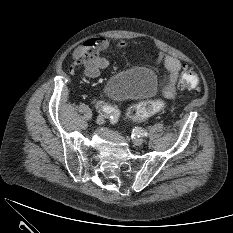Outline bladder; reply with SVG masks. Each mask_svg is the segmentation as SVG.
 I'll list each match as a JSON object with an SVG mask.
<instances>
[{"label": "bladder", "mask_w": 233, "mask_h": 233, "mask_svg": "<svg viewBox=\"0 0 233 233\" xmlns=\"http://www.w3.org/2000/svg\"><path fill=\"white\" fill-rule=\"evenodd\" d=\"M157 87L156 73L147 67L136 66L111 76L104 91L113 100L142 99L153 95Z\"/></svg>", "instance_id": "obj_1"}]
</instances>
